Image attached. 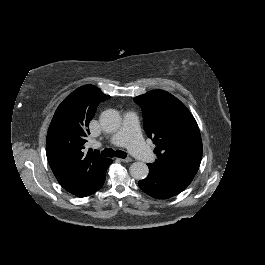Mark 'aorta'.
Instances as JSON below:
<instances>
[{
  "label": "aorta",
  "instance_id": "obj_1",
  "mask_svg": "<svg viewBox=\"0 0 265 265\" xmlns=\"http://www.w3.org/2000/svg\"><path fill=\"white\" fill-rule=\"evenodd\" d=\"M100 124L106 132H115L121 124V117L117 110L108 109L102 112ZM149 168L144 162H134L130 166V174L136 180H142L147 177Z\"/></svg>",
  "mask_w": 265,
  "mask_h": 265
}]
</instances>
